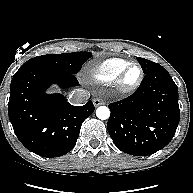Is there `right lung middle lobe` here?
<instances>
[{"mask_svg": "<svg viewBox=\"0 0 193 193\" xmlns=\"http://www.w3.org/2000/svg\"><path fill=\"white\" fill-rule=\"evenodd\" d=\"M92 56L90 52L48 54L34 57L25 62L18 71L45 69L77 74L82 65Z\"/></svg>", "mask_w": 193, "mask_h": 193, "instance_id": "dd1d6c3e", "label": "right lung middle lobe"}]
</instances>
